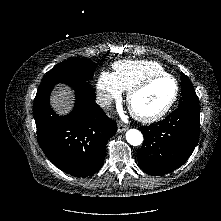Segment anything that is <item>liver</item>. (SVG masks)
<instances>
[{"label": "liver", "mask_w": 221, "mask_h": 221, "mask_svg": "<svg viewBox=\"0 0 221 221\" xmlns=\"http://www.w3.org/2000/svg\"><path fill=\"white\" fill-rule=\"evenodd\" d=\"M73 93L67 87L58 88L54 94L51 96V106L60 115L67 114L72 106Z\"/></svg>", "instance_id": "1"}]
</instances>
